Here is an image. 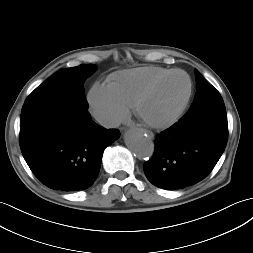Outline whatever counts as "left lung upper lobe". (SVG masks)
<instances>
[{
    "label": "left lung upper lobe",
    "instance_id": "1",
    "mask_svg": "<svg viewBox=\"0 0 253 253\" xmlns=\"http://www.w3.org/2000/svg\"><path fill=\"white\" fill-rule=\"evenodd\" d=\"M197 93L190 109L182 117L198 118L214 112L226 111L219 92L201 76L196 70Z\"/></svg>",
    "mask_w": 253,
    "mask_h": 253
}]
</instances>
